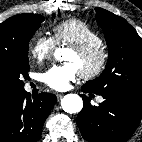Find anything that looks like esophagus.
<instances>
[{"label":"esophagus","instance_id":"1","mask_svg":"<svg viewBox=\"0 0 142 142\" xmlns=\"http://www.w3.org/2000/svg\"><path fill=\"white\" fill-rule=\"evenodd\" d=\"M56 96H57V99L60 100L63 97V94L58 93Z\"/></svg>","mask_w":142,"mask_h":142}]
</instances>
